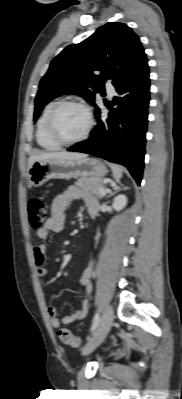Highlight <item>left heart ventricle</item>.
<instances>
[{
	"instance_id": "obj_1",
	"label": "left heart ventricle",
	"mask_w": 182,
	"mask_h": 399,
	"mask_svg": "<svg viewBox=\"0 0 182 399\" xmlns=\"http://www.w3.org/2000/svg\"><path fill=\"white\" fill-rule=\"evenodd\" d=\"M55 127L63 139H75L85 131L87 117L81 108L65 106L58 111L55 117Z\"/></svg>"
}]
</instances>
